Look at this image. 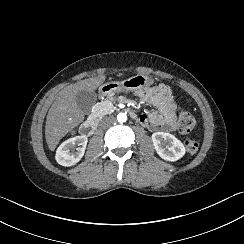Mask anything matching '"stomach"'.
<instances>
[{
  "mask_svg": "<svg viewBox=\"0 0 244 244\" xmlns=\"http://www.w3.org/2000/svg\"><path fill=\"white\" fill-rule=\"evenodd\" d=\"M149 83L150 80L148 78L141 80L139 76L129 78L122 82L111 81L100 85L99 94L107 96L114 95L116 92L134 91Z\"/></svg>",
  "mask_w": 244,
  "mask_h": 244,
  "instance_id": "stomach-1",
  "label": "stomach"
}]
</instances>
